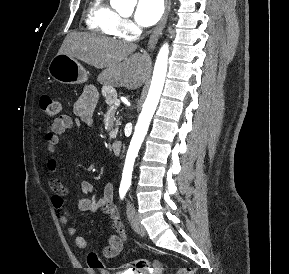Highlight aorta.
<instances>
[{
    "label": "aorta",
    "instance_id": "1",
    "mask_svg": "<svg viewBox=\"0 0 289 274\" xmlns=\"http://www.w3.org/2000/svg\"><path fill=\"white\" fill-rule=\"evenodd\" d=\"M130 2L131 0H111V5L119 9L129 6ZM168 54H169L168 45L164 44L158 53L154 66L150 89L147 98L143 104L142 111L139 115L137 124L135 126V132L133 134L132 140L130 142L127 151L122 174V184L124 185H129L131 182L135 158L139 152L141 144L148 131L150 121L159 103V99L164 87L167 73Z\"/></svg>",
    "mask_w": 289,
    "mask_h": 274
}]
</instances>
